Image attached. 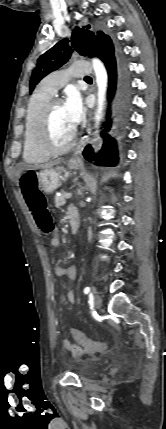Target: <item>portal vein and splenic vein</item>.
<instances>
[{
	"mask_svg": "<svg viewBox=\"0 0 166 429\" xmlns=\"http://www.w3.org/2000/svg\"><path fill=\"white\" fill-rule=\"evenodd\" d=\"M71 197H72V193L69 192L66 194V199H70Z\"/></svg>",
	"mask_w": 166,
	"mask_h": 429,
	"instance_id": "portal-vein-and-splenic-vein-1",
	"label": "portal vein and splenic vein"
}]
</instances>
